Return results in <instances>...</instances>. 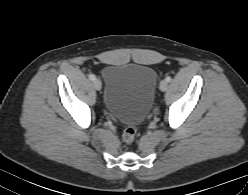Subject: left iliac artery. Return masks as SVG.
<instances>
[{
	"mask_svg": "<svg viewBox=\"0 0 248 195\" xmlns=\"http://www.w3.org/2000/svg\"><path fill=\"white\" fill-rule=\"evenodd\" d=\"M166 81L167 82H170L171 81V77L170 76L166 77Z\"/></svg>",
	"mask_w": 248,
	"mask_h": 195,
	"instance_id": "1",
	"label": "left iliac artery"
}]
</instances>
